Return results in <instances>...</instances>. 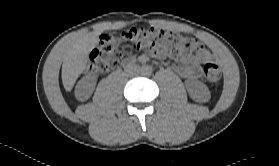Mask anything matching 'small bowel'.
Wrapping results in <instances>:
<instances>
[{
    "label": "small bowel",
    "instance_id": "1",
    "mask_svg": "<svg viewBox=\"0 0 279 166\" xmlns=\"http://www.w3.org/2000/svg\"><path fill=\"white\" fill-rule=\"evenodd\" d=\"M210 58V53L205 49H201L193 56H187L183 58L182 64L176 65L175 70L183 78H194L199 73L200 64L209 60Z\"/></svg>",
    "mask_w": 279,
    "mask_h": 166
}]
</instances>
